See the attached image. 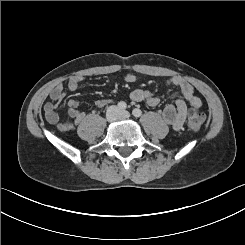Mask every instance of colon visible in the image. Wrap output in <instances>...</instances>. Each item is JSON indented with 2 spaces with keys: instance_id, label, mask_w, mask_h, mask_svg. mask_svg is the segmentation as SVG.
<instances>
[{
  "instance_id": "obj_1",
  "label": "colon",
  "mask_w": 245,
  "mask_h": 245,
  "mask_svg": "<svg viewBox=\"0 0 245 245\" xmlns=\"http://www.w3.org/2000/svg\"><path fill=\"white\" fill-rule=\"evenodd\" d=\"M205 122V115L199 111L191 110L188 114L187 125L193 131H198Z\"/></svg>"
}]
</instances>
